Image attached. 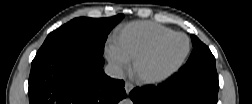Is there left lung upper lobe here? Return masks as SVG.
I'll use <instances>...</instances> for the list:
<instances>
[{
	"instance_id": "5c2ea615",
	"label": "left lung upper lobe",
	"mask_w": 252,
	"mask_h": 104,
	"mask_svg": "<svg viewBox=\"0 0 252 104\" xmlns=\"http://www.w3.org/2000/svg\"><path fill=\"white\" fill-rule=\"evenodd\" d=\"M193 51L187 63L180 69L181 71L193 70L196 68L216 67L215 57L210 49L202 43L195 35H191Z\"/></svg>"
}]
</instances>
